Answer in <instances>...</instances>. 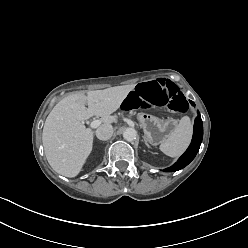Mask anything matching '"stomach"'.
<instances>
[{"label":"stomach","instance_id":"obj_1","mask_svg":"<svg viewBox=\"0 0 248 248\" xmlns=\"http://www.w3.org/2000/svg\"><path fill=\"white\" fill-rule=\"evenodd\" d=\"M138 120L144 132V137L151 145L162 144L176 127L173 118L160 119L156 116L141 113Z\"/></svg>","mask_w":248,"mask_h":248}]
</instances>
